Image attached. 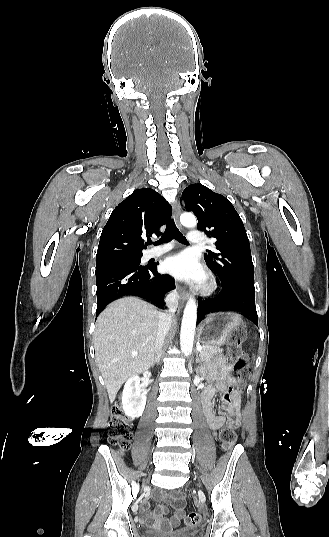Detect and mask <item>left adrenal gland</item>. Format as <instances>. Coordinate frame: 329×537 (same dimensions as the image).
<instances>
[{
    "instance_id": "1",
    "label": "left adrenal gland",
    "mask_w": 329,
    "mask_h": 537,
    "mask_svg": "<svg viewBox=\"0 0 329 537\" xmlns=\"http://www.w3.org/2000/svg\"><path fill=\"white\" fill-rule=\"evenodd\" d=\"M196 363H198L199 365L201 364V359L199 358L198 352H196ZM196 373H199V366H197L196 368Z\"/></svg>"
}]
</instances>
